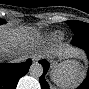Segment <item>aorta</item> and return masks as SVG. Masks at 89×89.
<instances>
[{"label": "aorta", "mask_w": 89, "mask_h": 89, "mask_svg": "<svg viewBox=\"0 0 89 89\" xmlns=\"http://www.w3.org/2000/svg\"><path fill=\"white\" fill-rule=\"evenodd\" d=\"M29 74L34 78H39L43 74V67L39 63H34L30 66Z\"/></svg>", "instance_id": "1"}]
</instances>
